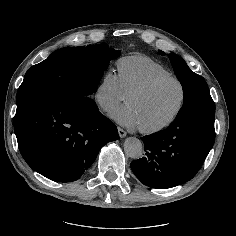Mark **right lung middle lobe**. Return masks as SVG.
<instances>
[{
    "mask_svg": "<svg viewBox=\"0 0 236 236\" xmlns=\"http://www.w3.org/2000/svg\"><path fill=\"white\" fill-rule=\"evenodd\" d=\"M118 53L107 44L68 47L53 52L26 72L17 92V109L42 98L67 94L91 97L108 62Z\"/></svg>",
    "mask_w": 236,
    "mask_h": 236,
    "instance_id": "1",
    "label": "right lung middle lobe"
}]
</instances>
